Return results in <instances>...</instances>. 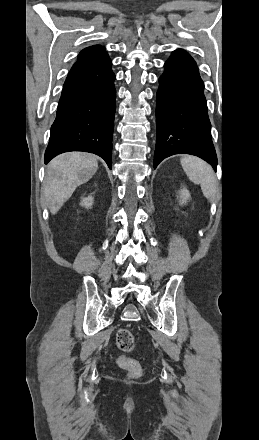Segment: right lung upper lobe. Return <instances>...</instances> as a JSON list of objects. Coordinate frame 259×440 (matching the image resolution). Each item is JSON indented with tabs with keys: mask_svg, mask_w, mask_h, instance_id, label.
<instances>
[{
	"mask_svg": "<svg viewBox=\"0 0 259 440\" xmlns=\"http://www.w3.org/2000/svg\"><path fill=\"white\" fill-rule=\"evenodd\" d=\"M105 54H107V52L105 51L104 47L100 45L90 46L80 52L77 62L97 58Z\"/></svg>",
	"mask_w": 259,
	"mask_h": 440,
	"instance_id": "obj_1",
	"label": "right lung upper lobe"
}]
</instances>
